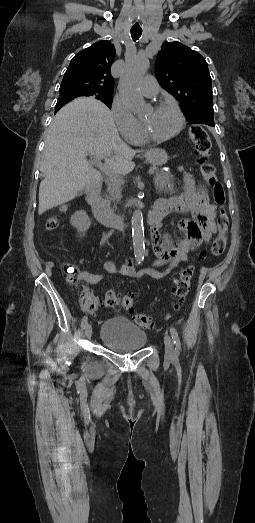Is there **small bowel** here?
Returning a JSON list of instances; mask_svg holds the SVG:
<instances>
[{
    "label": "small bowel",
    "mask_w": 255,
    "mask_h": 523,
    "mask_svg": "<svg viewBox=\"0 0 255 523\" xmlns=\"http://www.w3.org/2000/svg\"><path fill=\"white\" fill-rule=\"evenodd\" d=\"M171 211L190 213L191 218L182 220L177 228L180 235L174 240H168L160 234L158 226L152 229V248L155 259L151 262L153 267L135 270L133 260L129 259L120 266L113 261H106L104 269L109 274H119L137 280L144 276L161 279L169 275L181 262L189 259L191 252L196 250L203 242H208L216 232V207L201 185H197L191 175L186 174L184 190L180 195L169 198ZM154 267H165L159 271ZM103 279L102 274L83 272L81 280L94 285Z\"/></svg>",
    "instance_id": "1"
}]
</instances>
